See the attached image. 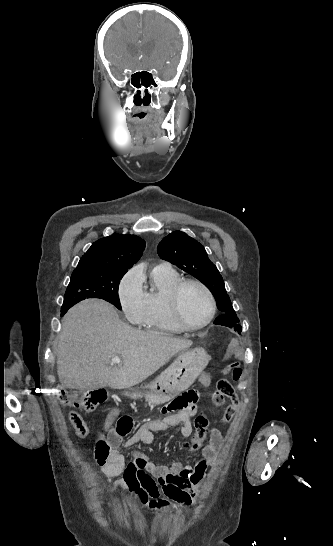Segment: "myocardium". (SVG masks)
Returning <instances> with one entry per match:
<instances>
[{
    "label": "myocardium",
    "mask_w": 333,
    "mask_h": 546,
    "mask_svg": "<svg viewBox=\"0 0 333 546\" xmlns=\"http://www.w3.org/2000/svg\"><path fill=\"white\" fill-rule=\"evenodd\" d=\"M196 285L199 288H201L204 293L206 294L209 305H210V312L207 317V319L199 324V325H191L186 322L182 315L181 307H180V296L182 293V290L187 285ZM168 309L170 312L171 317L175 321V323L185 331H198L205 327H207L214 319L217 311V305L216 300L214 297V294L210 290V288L203 283L202 281L194 278H182L178 282L175 283V285L172 287L169 296H168Z\"/></svg>",
    "instance_id": "1"
}]
</instances>
